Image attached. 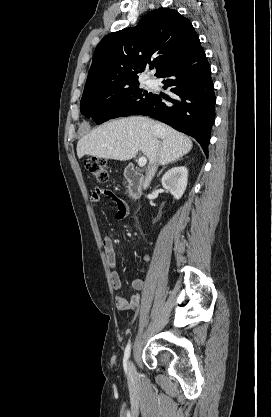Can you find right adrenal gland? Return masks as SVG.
<instances>
[{
	"label": "right adrenal gland",
	"mask_w": 272,
	"mask_h": 417,
	"mask_svg": "<svg viewBox=\"0 0 272 417\" xmlns=\"http://www.w3.org/2000/svg\"><path fill=\"white\" fill-rule=\"evenodd\" d=\"M174 162H176V161H174ZM174 162H172V163H174ZM166 167H167V166L163 167V168L159 171V173H158L157 177H159V176H160V174L163 172V170H164Z\"/></svg>",
	"instance_id": "obj_1"
}]
</instances>
